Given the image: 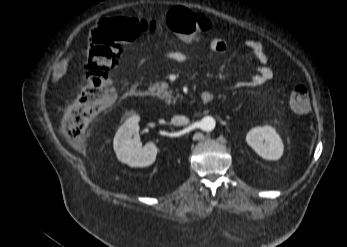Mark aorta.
<instances>
[{"mask_svg":"<svg viewBox=\"0 0 347 247\" xmlns=\"http://www.w3.org/2000/svg\"><path fill=\"white\" fill-rule=\"evenodd\" d=\"M216 121L211 116H206L200 121L201 129L205 132H210L215 128Z\"/></svg>","mask_w":347,"mask_h":247,"instance_id":"obj_1","label":"aorta"}]
</instances>
